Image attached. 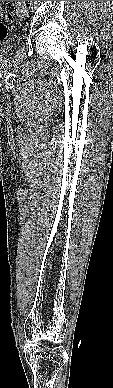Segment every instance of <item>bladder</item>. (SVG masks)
<instances>
[{
  "mask_svg": "<svg viewBox=\"0 0 113 388\" xmlns=\"http://www.w3.org/2000/svg\"><path fill=\"white\" fill-rule=\"evenodd\" d=\"M11 51V45L0 44V59L7 56Z\"/></svg>",
  "mask_w": 113,
  "mask_h": 388,
  "instance_id": "bladder-1",
  "label": "bladder"
}]
</instances>
